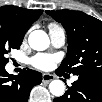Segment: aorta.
Listing matches in <instances>:
<instances>
[{"label":"aorta","instance_id":"obj_1","mask_svg":"<svg viewBox=\"0 0 102 102\" xmlns=\"http://www.w3.org/2000/svg\"><path fill=\"white\" fill-rule=\"evenodd\" d=\"M28 43L30 47L37 51L48 48L50 40L48 35L42 30H34L29 34ZM49 90L54 96H62L65 92V85L61 80H53L49 85Z\"/></svg>","mask_w":102,"mask_h":102}]
</instances>
